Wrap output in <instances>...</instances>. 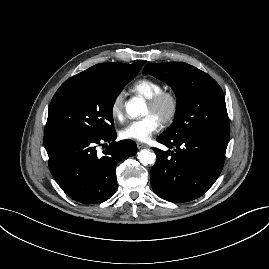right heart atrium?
<instances>
[{"mask_svg":"<svg viewBox=\"0 0 269 269\" xmlns=\"http://www.w3.org/2000/svg\"><path fill=\"white\" fill-rule=\"evenodd\" d=\"M124 92L119 91L113 97L110 104V113L115 120L121 121L124 114Z\"/></svg>","mask_w":269,"mask_h":269,"instance_id":"right-heart-atrium-1","label":"right heart atrium"}]
</instances>
